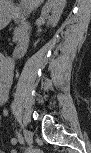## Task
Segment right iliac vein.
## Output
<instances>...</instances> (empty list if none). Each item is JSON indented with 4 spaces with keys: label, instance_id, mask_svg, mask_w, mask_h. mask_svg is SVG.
Here are the masks:
<instances>
[{
    "label": "right iliac vein",
    "instance_id": "63e3f726",
    "mask_svg": "<svg viewBox=\"0 0 91 153\" xmlns=\"http://www.w3.org/2000/svg\"><path fill=\"white\" fill-rule=\"evenodd\" d=\"M23 134H24V137H25V140L28 144H31L32 141H33V136H32V133L28 130H24L23 131Z\"/></svg>",
    "mask_w": 91,
    "mask_h": 153
}]
</instances>
